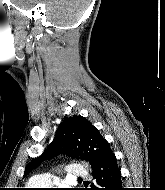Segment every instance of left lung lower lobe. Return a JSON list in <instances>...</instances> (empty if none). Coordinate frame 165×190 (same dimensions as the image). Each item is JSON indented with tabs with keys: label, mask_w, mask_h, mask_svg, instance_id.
Here are the masks:
<instances>
[{
	"label": "left lung lower lobe",
	"mask_w": 165,
	"mask_h": 190,
	"mask_svg": "<svg viewBox=\"0 0 165 190\" xmlns=\"http://www.w3.org/2000/svg\"><path fill=\"white\" fill-rule=\"evenodd\" d=\"M92 175L100 186L95 190H122L121 173L114 153L92 167Z\"/></svg>",
	"instance_id": "left-lung-lower-lobe-1"
}]
</instances>
